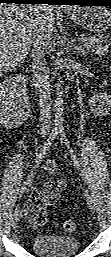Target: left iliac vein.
Listing matches in <instances>:
<instances>
[{"instance_id": "1", "label": "left iliac vein", "mask_w": 111, "mask_h": 257, "mask_svg": "<svg viewBox=\"0 0 111 257\" xmlns=\"http://www.w3.org/2000/svg\"><path fill=\"white\" fill-rule=\"evenodd\" d=\"M84 194H85L86 201H87L89 209L91 211H94L95 210V203H94V199H93L92 195L90 194V192L88 190H85Z\"/></svg>"}]
</instances>
